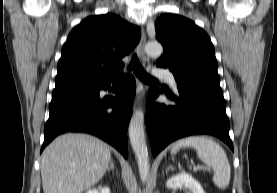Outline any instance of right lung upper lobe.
Listing matches in <instances>:
<instances>
[{
	"instance_id": "1",
	"label": "right lung upper lobe",
	"mask_w": 277,
	"mask_h": 193,
	"mask_svg": "<svg viewBox=\"0 0 277 193\" xmlns=\"http://www.w3.org/2000/svg\"><path fill=\"white\" fill-rule=\"evenodd\" d=\"M140 37L139 28L115 14L87 17L62 47L56 87L95 83L120 74L122 58Z\"/></svg>"
}]
</instances>
